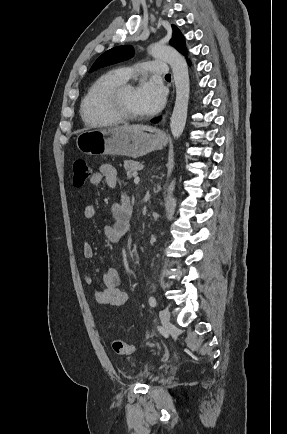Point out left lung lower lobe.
<instances>
[{"instance_id": "obj_1", "label": "left lung lower lobe", "mask_w": 287, "mask_h": 434, "mask_svg": "<svg viewBox=\"0 0 287 434\" xmlns=\"http://www.w3.org/2000/svg\"><path fill=\"white\" fill-rule=\"evenodd\" d=\"M159 120H160V118H155V119L152 120V122H153V123H156V122H158Z\"/></svg>"}]
</instances>
